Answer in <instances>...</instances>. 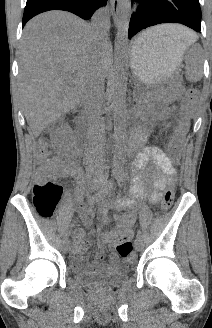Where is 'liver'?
Listing matches in <instances>:
<instances>
[{
  "label": "liver",
  "instance_id": "1",
  "mask_svg": "<svg viewBox=\"0 0 212 328\" xmlns=\"http://www.w3.org/2000/svg\"><path fill=\"white\" fill-rule=\"evenodd\" d=\"M182 48L197 35L181 25L167 24L146 31ZM105 39L95 37L90 24L64 11H49L30 20L19 48L20 98L35 137L83 99L89 77L109 69Z\"/></svg>",
  "mask_w": 212,
  "mask_h": 328
}]
</instances>
